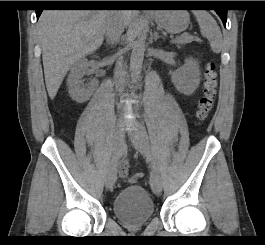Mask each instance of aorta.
Returning a JSON list of instances; mask_svg holds the SVG:
<instances>
[{"label": "aorta", "mask_w": 265, "mask_h": 245, "mask_svg": "<svg viewBox=\"0 0 265 245\" xmlns=\"http://www.w3.org/2000/svg\"><path fill=\"white\" fill-rule=\"evenodd\" d=\"M145 49H146L145 34L143 32H139L137 39L133 42L132 52L130 57V72L133 83L137 81L141 73Z\"/></svg>", "instance_id": "aorta-1"}]
</instances>
